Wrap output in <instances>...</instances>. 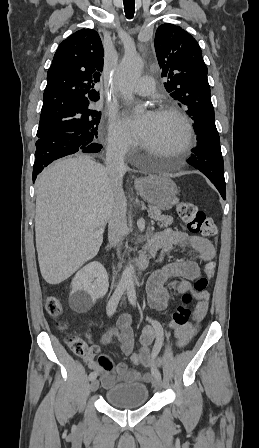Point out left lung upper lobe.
Segmentation results:
<instances>
[{"mask_svg": "<svg viewBox=\"0 0 259 448\" xmlns=\"http://www.w3.org/2000/svg\"><path fill=\"white\" fill-rule=\"evenodd\" d=\"M155 50L170 96L188 107L197 134L215 131L207 66L197 41L184 29L173 24L158 27ZM180 105V104H179Z\"/></svg>", "mask_w": 259, "mask_h": 448, "instance_id": "5c2ea615", "label": "left lung upper lobe"}]
</instances>
